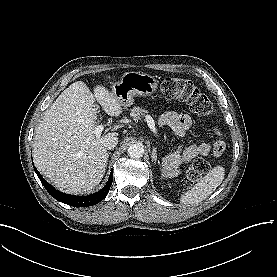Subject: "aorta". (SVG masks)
<instances>
[{
    "label": "aorta",
    "mask_w": 277,
    "mask_h": 277,
    "mask_svg": "<svg viewBox=\"0 0 277 277\" xmlns=\"http://www.w3.org/2000/svg\"><path fill=\"white\" fill-rule=\"evenodd\" d=\"M144 151V145L142 143L136 142L129 146L127 153L129 157L133 159H139L143 157Z\"/></svg>",
    "instance_id": "762f6f07"
}]
</instances>
